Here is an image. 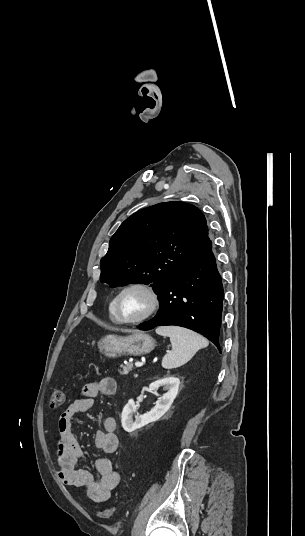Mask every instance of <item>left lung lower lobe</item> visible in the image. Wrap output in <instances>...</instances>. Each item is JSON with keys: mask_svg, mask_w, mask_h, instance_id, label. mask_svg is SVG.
Here are the masks:
<instances>
[{"mask_svg": "<svg viewBox=\"0 0 305 536\" xmlns=\"http://www.w3.org/2000/svg\"><path fill=\"white\" fill-rule=\"evenodd\" d=\"M223 285L212 252L211 240L159 292L160 309L140 330L177 325L208 338L221 351L219 335L223 307Z\"/></svg>", "mask_w": 305, "mask_h": 536, "instance_id": "0a47b994", "label": "left lung lower lobe"}]
</instances>
